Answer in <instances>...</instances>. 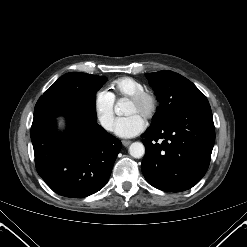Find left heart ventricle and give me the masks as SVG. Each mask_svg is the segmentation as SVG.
I'll return each instance as SVG.
<instances>
[{
	"label": "left heart ventricle",
	"instance_id": "b2bd125f",
	"mask_svg": "<svg viewBox=\"0 0 247 247\" xmlns=\"http://www.w3.org/2000/svg\"><path fill=\"white\" fill-rule=\"evenodd\" d=\"M145 108H146L145 105H139L132 102H128L125 113L127 115L138 113L144 117Z\"/></svg>",
	"mask_w": 247,
	"mask_h": 247
}]
</instances>
